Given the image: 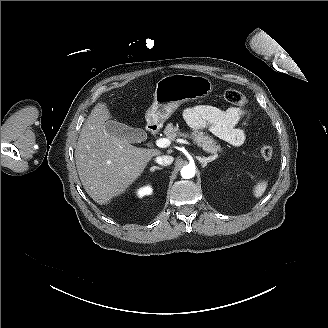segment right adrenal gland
Instances as JSON below:
<instances>
[{"label": "right adrenal gland", "instance_id": "2a0ac1e0", "mask_svg": "<svg viewBox=\"0 0 328 328\" xmlns=\"http://www.w3.org/2000/svg\"><path fill=\"white\" fill-rule=\"evenodd\" d=\"M156 169H159V170H161V169H163V168H157V167H156Z\"/></svg>", "mask_w": 328, "mask_h": 328}]
</instances>
